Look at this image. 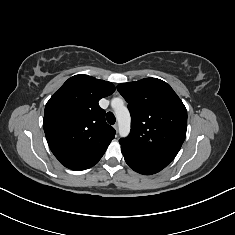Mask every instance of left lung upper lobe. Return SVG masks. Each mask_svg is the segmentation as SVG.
Here are the masks:
<instances>
[{
  "label": "left lung upper lobe",
  "instance_id": "left-lung-upper-lobe-1",
  "mask_svg": "<svg viewBox=\"0 0 235 235\" xmlns=\"http://www.w3.org/2000/svg\"><path fill=\"white\" fill-rule=\"evenodd\" d=\"M128 102L131 131L120 139L132 153L168 165L179 152L187 130V110L166 82L145 78L117 86Z\"/></svg>",
  "mask_w": 235,
  "mask_h": 235
}]
</instances>
